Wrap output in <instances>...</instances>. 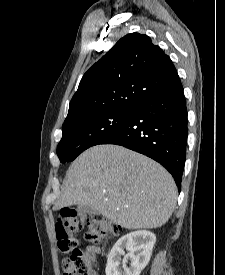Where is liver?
Wrapping results in <instances>:
<instances>
[{
  "instance_id": "6515ba94",
  "label": "liver",
  "mask_w": 225,
  "mask_h": 275,
  "mask_svg": "<svg viewBox=\"0 0 225 275\" xmlns=\"http://www.w3.org/2000/svg\"><path fill=\"white\" fill-rule=\"evenodd\" d=\"M172 176L154 160L118 145H96L70 165L54 210L86 205L126 229H153L171 217Z\"/></svg>"
}]
</instances>
